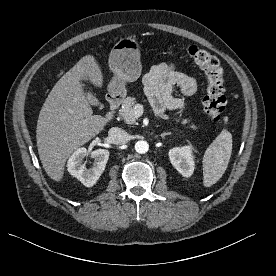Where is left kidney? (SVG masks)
Masks as SVG:
<instances>
[{
	"mask_svg": "<svg viewBox=\"0 0 276 276\" xmlns=\"http://www.w3.org/2000/svg\"><path fill=\"white\" fill-rule=\"evenodd\" d=\"M169 159L182 176L190 177L193 174L195 164L192 146L187 145L170 149Z\"/></svg>",
	"mask_w": 276,
	"mask_h": 276,
	"instance_id": "5707ae66",
	"label": "left kidney"
}]
</instances>
